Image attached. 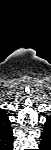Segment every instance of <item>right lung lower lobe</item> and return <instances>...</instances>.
Here are the masks:
<instances>
[{
  "label": "right lung lower lobe",
  "mask_w": 51,
  "mask_h": 150,
  "mask_svg": "<svg viewBox=\"0 0 51 150\" xmlns=\"http://www.w3.org/2000/svg\"><path fill=\"white\" fill-rule=\"evenodd\" d=\"M7 150H13V142H12L11 145L7 148Z\"/></svg>",
  "instance_id": "right-lung-lower-lobe-1"
}]
</instances>
